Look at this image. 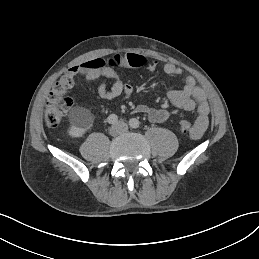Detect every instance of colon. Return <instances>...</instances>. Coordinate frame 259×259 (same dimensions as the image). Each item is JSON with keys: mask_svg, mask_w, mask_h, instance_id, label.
Here are the masks:
<instances>
[{"mask_svg": "<svg viewBox=\"0 0 259 259\" xmlns=\"http://www.w3.org/2000/svg\"><path fill=\"white\" fill-rule=\"evenodd\" d=\"M74 87L75 79L71 75L63 76L52 87L45 106V120L50 127H57L72 108L73 98L69 94ZM178 127L183 134H188L192 132L194 125L190 118L181 116Z\"/></svg>", "mask_w": 259, "mask_h": 259, "instance_id": "1", "label": "colon"}]
</instances>
